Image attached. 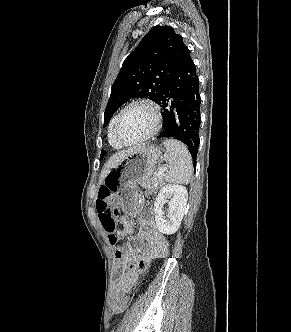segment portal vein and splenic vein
I'll list each match as a JSON object with an SVG mask.
<instances>
[{"label":"portal vein and splenic vein","instance_id":"1","mask_svg":"<svg viewBox=\"0 0 291 332\" xmlns=\"http://www.w3.org/2000/svg\"><path fill=\"white\" fill-rule=\"evenodd\" d=\"M167 170V168L165 167H161L159 168L158 172H157V176L160 177V176H163L164 172Z\"/></svg>","mask_w":291,"mask_h":332}]
</instances>
